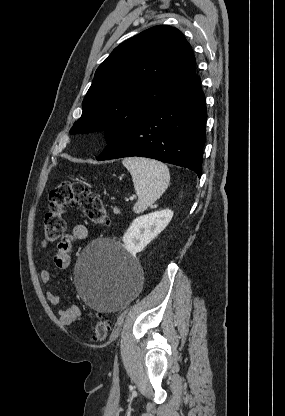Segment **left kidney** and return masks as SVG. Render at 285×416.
Returning a JSON list of instances; mask_svg holds the SVG:
<instances>
[{
  "label": "left kidney",
  "mask_w": 285,
  "mask_h": 416,
  "mask_svg": "<svg viewBox=\"0 0 285 416\" xmlns=\"http://www.w3.org/2000/svg\"><path fill=\"white\" fill-rule=\"evenodd\" d=\"M172 216V210H160V212H152V214L139 216V218L133 220L123 236L126 250L130 254L142 252L154 238H157L160 232L165 230L170 220H172Z\"/></svg>",
  "instance_id": "5707ae66"
}]
</instances>
